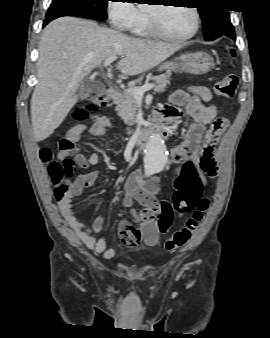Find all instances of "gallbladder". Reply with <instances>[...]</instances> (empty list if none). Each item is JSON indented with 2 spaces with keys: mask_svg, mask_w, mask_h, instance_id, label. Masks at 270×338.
<instances>
[{
  "mask_svg": "<svg viewBox=\"0 0 270 338\" xmlns=\"http://www.w3.org/2000/svg\"><path fill=\"white\" fill-rule=\"evenodd\" d=\"M104 89V85L99 81L85 79L80 84L78 96L80 99H85L89 94L102 92Z\"/></svg>",
  "mask_w": 270,
  "mask_h": 338,
  "instance_id": "gallbladder-1",
  "label": "gallbladder"
}]
</instances>
